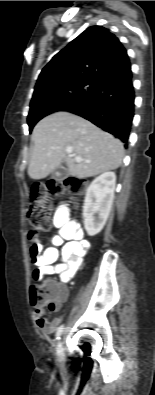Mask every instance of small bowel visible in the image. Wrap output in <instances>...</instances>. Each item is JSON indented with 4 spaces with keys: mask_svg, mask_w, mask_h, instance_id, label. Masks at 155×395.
<instances>
[{
    "mask_svg": "<svg viewBox=\"0 0 155 395\" xmlns=\"http://www.w3.org/2000/svg\"><path fill=\"white\" fill-rule=\"evenodd\" d=\"M53 222L59 232L52 238V246L45 249L44 238L36 237L35 240H31L28 248V260H32L31 272L34 281L40 280V274H57L61 283L65 284L81 266L89 243L84 238L79 224L70 220L69 211L65 206L61 205L56 209ZM66 297L67 290L62 287V296L55 301L52 311H57ZM33 316L37 327L45 335L55 332L60 323V318L49 321L42 307L35 309Z\"/></svg>",
    "mask_w": 155,
    "mask_h": 395,
    "instance_id": "1",
    "label": "small bowel"
}]
</instances>
